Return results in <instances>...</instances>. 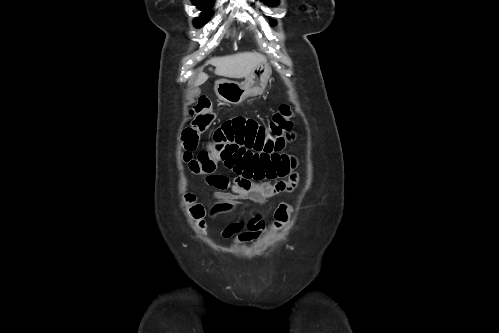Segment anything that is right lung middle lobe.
I'll return each mask as SVG.
<instances>
[{
	"instance_id": "1",
	"label": "right lung middle lobe",
	"mask_w": 499,
	"mask_h": 333,
	"mask_svg": "<svg viewBox=\"0 0 499 333\" xmlns=\"http://www.w3.org/2000/svg\"><path fill=\"white\" fill-rule=\"evenodd\" d=\"M193 3L198 7L203 12V16L198 17L195 20V24L197 27H201L203 24H205L208 21V17L211 15V13H206V10L211 8L212 2H196L193 1Z\"/></svg>"
}]
</instances>
